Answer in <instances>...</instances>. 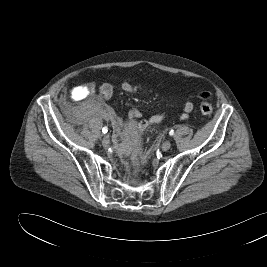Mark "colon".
<instances>
[{"label": "colon", "mask_w": 267, "mask_h": 267, "mask_svg": "<svg viewBox=\"0 0 267 267\" xmlns=\"http://www.w3.org/2000/svg\"><path fill=\"white\" fill-rule=\"evenodd\" d=\"M211 95L210 93L204 92L200 95V105L199 110L202 115L210 116L212 114V106L210 104Z\"/></svg>", "instance_id": "5ec220e1"}]
</instances>
